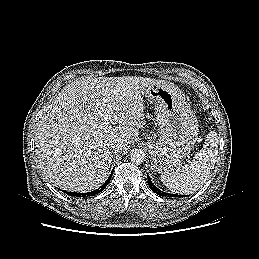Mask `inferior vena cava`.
<instances>
[{"label": "inferior vena cava", "instance_id": "602c4592", "mask_svg": "<svg viewBox=\"0 0 259 259\" xmlns=\"http://www.w3.org/2000/svg\"><path fill=\"white\" fill-rule=\"evenodd\" d=\"M110 148H111V151L113 152V153H117L119 150H120V148H121V144L120 143H112L111 145H110Z\"/></svg>", "mask_w": 259, "mask_h": 259}]
</instances>
